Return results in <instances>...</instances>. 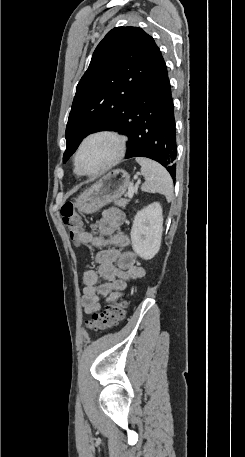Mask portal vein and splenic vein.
<instances>
[{
  "label": "portal vein and splenic vein",
  "instance_id": "obj_1",
  "mask_svg": "<svg viewBox=\"0 0 245 457\" xmlns=\"http://www.w3.org/2000/svg\"><path fill=\"white\" fill-rule=\"evenodd\" d=\"M135 176H137V174H135ZM134 189H133V183L132 182H129L128 183V198H133V194H134Z\"/></svg>",
  "mask_w": 245,
  "mask_h": 457
}]
</instances>
